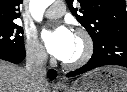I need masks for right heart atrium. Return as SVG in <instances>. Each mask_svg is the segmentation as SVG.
Here are the masks:
<instances>
[{
    "mask_svg": "<svg viewBox=\"0 0 127 92\" xmlns=\"http://www.w3.org/2000/svg\"><path fill=\"white\" fill-rule=\"evenodd\" d=\"M26 57L28 61L34 65H43L47 61V54L34 35L26 37Z\"/></svg>",
    "mask_w": 127,
    "mask_h": 92,
    "instance_id": "obj_1",
    "label": "right heart atrium"
}]
</instances>
